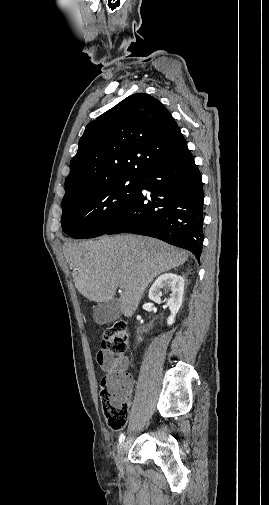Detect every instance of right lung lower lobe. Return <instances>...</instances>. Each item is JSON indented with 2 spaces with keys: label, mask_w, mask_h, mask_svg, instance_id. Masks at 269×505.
Listing matches in <instances>:
<instances>
[{
  "label": "right lung lower lobe",
  "mask_w": 269,
  "mask_h": 505,
  "mask_svg": "<svg viewBox=\"0 0 269 505\" xmlns=\"http://www.w3.org/2000/svg\"><path fill=\"white\" fill-rule=\"evenodd\" d=\"M138 180L137 195L105 234L155 237L191 251L199 261L203 240V184L187 145L152 165ZM143 189L151 195L142 193Z\"/></svg>",
  "instance_id": "right-lung-lower-lobe-1"
}]
</instances>
